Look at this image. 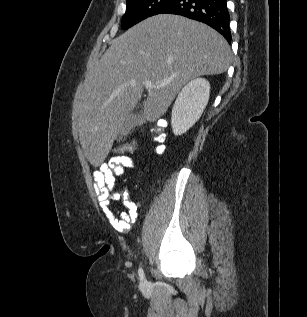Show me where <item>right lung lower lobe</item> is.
<instances>
[{"instance_id": "1", "label": "right lung lower lobe", "mask_w": 307, "mask_h": 317, "mask_svg": "<svg viewBox=\"0 0 307 317\" xmlns=\"http://www.w3.org/2000/svg\"><path fill=\"white\" fill-rule=\"evenodd\" d=\"M162 14H176L211 26L231 42L226 0H174Z\"/></svg>"}]
</instances>
